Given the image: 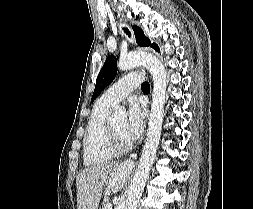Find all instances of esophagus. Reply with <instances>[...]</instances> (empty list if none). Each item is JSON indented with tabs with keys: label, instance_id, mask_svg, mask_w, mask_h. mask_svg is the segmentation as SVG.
<instances>
[{
	"label": "esophagus",
	"instance_id": "34e87169",
	"mask_svg": "<svg viewBox=\"0 0 253 209\" xmlns=\"http://www.w3.org/2000/svg\"><path fill=\"white\" fill-rule=\"evenodd\" d=\"M120 28L124 36L131 42L134 43V36L131 28L128 25L120 23ZM134 161L130 158L125 161V165H132Z\"/></svg>",
	"mask_w": 253,
	"mask_h": 209
}]
</instances>
